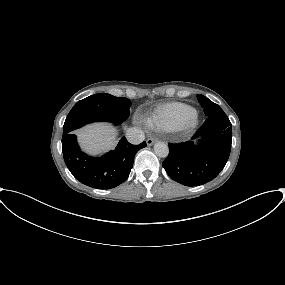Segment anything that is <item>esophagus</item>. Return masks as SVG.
<instances>
[{
	"label": "esophagus",
	"instance_id": "1",
	"mask_svg": "<svg viewBox=\"0 0 285 285\" xmlns=\"http://www.w3.org/2000/svg\"><path fill=\"white\" fill-rule=\"evenodd\" d=\"M155 141H156V138H154V137H149V138L147 139L146 143H147L148 146H151V145H153V143H154Z\"/></svg>",
	"mask_w": 285,
	"mask_h": 285
}]
</instances>
